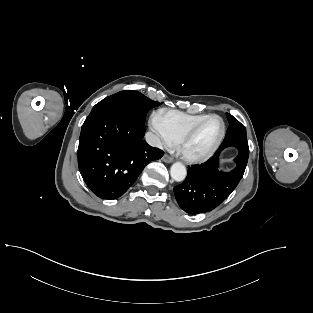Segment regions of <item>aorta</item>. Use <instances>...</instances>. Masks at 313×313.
<instances>
[{
  "label": "aorta",
  "instance_id": "1",
  "mask_svg": "<svg viewBox=\"0 0 313 313\" xmlns=\"http://www.w3.org/2000/svg\"><path fill=\"white\" fill-rule=\"evenodd\" d=\"M170 175L174 181L181 182L186 178V167L182 163L176 162L171 166Z\"/></svg>",
  "mask_w": 313,
  "mask_h": 313
}]
</instances>
